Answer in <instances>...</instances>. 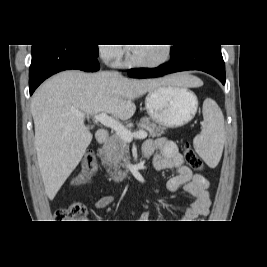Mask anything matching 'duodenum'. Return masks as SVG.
Segmentation results:
<instances>
[{"instance_id": "duodenum-1", "label": "duodenum", "mask_w": 267, "mask_h": 267, "mask_svg": "<svg viewBox=\"0 0 267 267\" xmlns=\"http://www.w3.org/2000/svg\"><path fill=\"white\" fill-rule=\"evenodd\" d=\"M109 138V132L105 129H101L98 131L97 136H96V140L98 142V144H105L108 141ZM130 176L129 173L127 172H118L115 174L116 180H122V179H126Z\"/></svg>"}]
</instances>
